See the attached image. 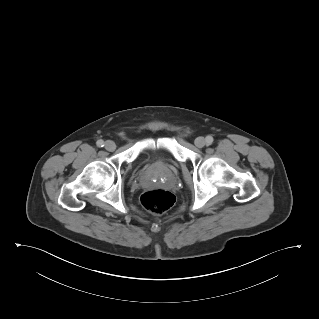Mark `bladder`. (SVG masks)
Here are the masks:
<instances>
[{
    "mask_svg": "<svg viewBox=\"0 0 319 319\" xmlns=\"http://www.w3.org/2000/svg\"><path fill=\"white\" fill-rule=\"evenodd\" d=\"M159 151H161V147H160V146H157V144L154 143V147H153L151 150H149L147 153L143 154V155L141 156V158H140L139 161L141 162V161H143L145 158H147L149 154H152V153H154V152H159Z\"/></svg>",
    "mask_w": 319,
    "mask_h": 319,
    "instance_id": "1",
    "label": "bladder"
}]
</instances>
